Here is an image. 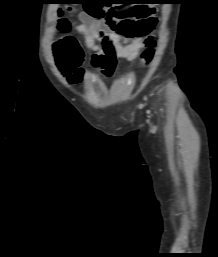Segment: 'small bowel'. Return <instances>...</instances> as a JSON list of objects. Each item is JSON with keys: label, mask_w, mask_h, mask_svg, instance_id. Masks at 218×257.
<instances>
[{"label": "small bowel", "mask_w": 218, "mask_h": 257, "mask_svg": "<svg viewBox=\"0 0 218 257\" xmlns=\"http://www.w3.org/2000/svg\"><path fill=\"white\" fill-rule=\"evenodd\" d=\"M130 12L131 10H121ZM75 29L84 36L86 46L94 52H88L91 69L96 73L109 76L119 73L121 59L135 60L146 46L141 38H128L117 33L105 19L94 18L87 12L79 14L74 23ZM85 70L79 67L68 76L72 83L81 81Z\"/></svg>", "instance_id": "1"}]
</instances>
